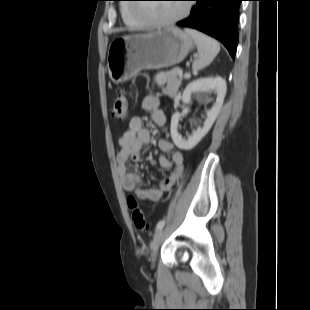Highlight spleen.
I'll list each match as a JSON object with an SVG mask.
<instances>
[{
  "mask_svg": "<svg viewBox=\"0 0 310 310\" xmlns=\"http://www.w3.org/2000/svg\"><path fill=\"white\" fill-rule=\"evenodd\" d=\"M185 32L194 39L199 54L192 67L194 70H201L213 61L220 51V45L215 39L197 30L185 29Z\"/></svg>",
  "mask_w": 310,
  "mask_h": 310,
  "instance_id": "3e777b00",
  "label": "spleen"
}]
</instances>
